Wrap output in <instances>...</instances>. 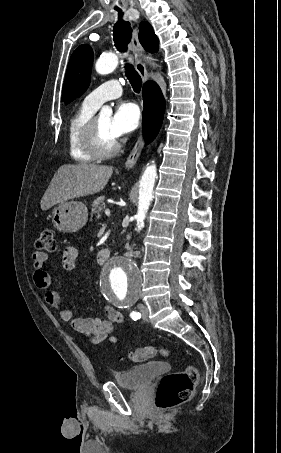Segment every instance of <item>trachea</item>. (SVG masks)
<instances>
[{"mask_svg":"<svg viewBox=\"0 0 281 453\" xmlns=\"http://www.w3.org/2000/svg\"><path fill=\"white\" fill-rule=\"evenodd\" d=\"M123 13H119V19L115 23L113 28V40L115 42V46L120 53H124L128 49V44L132 38V28L128 21H124L122 19ZM125 75L133 90L136 93H139L142 87V80L139 73L134 69L131 63H125Z\"/></svg>","mask_w":281,"mask_h":453,"instance_id":"1","label":"trachea"}]
</instances>
